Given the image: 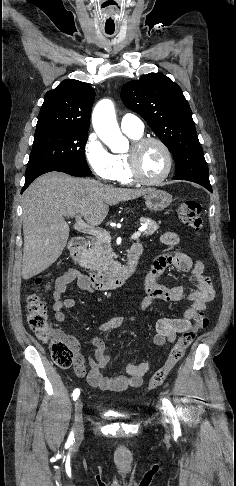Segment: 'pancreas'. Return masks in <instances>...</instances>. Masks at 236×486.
I'll list each match as a JSON object with an SVG mask.
<instances>
[{"mask_svg": "<svg viewBox=\"0 0 236 486\" xmlns=\"http://www.w3.org/2000/svg\"><path fill=\"white\" fill-rule=\"evenodd\" d=\"M140 223L147 224V228L143 232L146 236L154 234L159 228V225L150 218L142 217L140 218ZM80 264L82 267L98 274L108 275L112 273L115 270V262L110 241L93 238L90 247L81 258Z\"/></svg>", "mask_w": 236, "mask_h": 486, "instance_id": "obj_1", "label": "pancreas"}]
</instances>
